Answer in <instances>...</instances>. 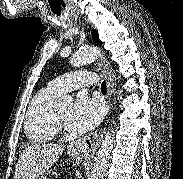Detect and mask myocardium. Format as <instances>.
<instances>
[{
	"label": "myocardium",
	"instance_id": "1",
	"mask_svg": "<svg viewBox=\"0 0 183 179\" xmlns=\"http://www.w3.org/2000/svg\"><path fill=\"white\" fill-rule=\"evenodd\" d=\"M54 123H55V126H56L57 130L68 131L66 125L60 119L57 111H55V113H54Z\"/></svg>",
	"mask_w": 183,
	"mask_h": 179
}]
</instances>
